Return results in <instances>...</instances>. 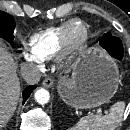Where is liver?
Segmentation results:
<instances>
[{"mask_svg": "<svg viewBox=\"0 0 130 130\" xmlns=\"http://www.w3.org/2000/svg\"><path fill=\"white\" fill-rule=\"evenodd\" d=\"M11 54L0 45V129L16 110L20 97V81Z\"/></svg>", "mask_w": 130, "mask_h": 130, "instance_id": "6515ba94", "label": "liver"}]
</instances>
